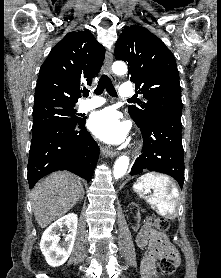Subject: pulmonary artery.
Wrapping results in <instances>:
<instances>
[{"mask_svg":"<svg viewBox=\"0 0 221 278\" xmlns=\"http://www.w3.org/2000/svg\"><path fill=\"white\" fill-rule=\"evenodd\" d=\"M135 95L134 89L130 85H122L120 88V97L130 99ZM105 99L99 96H93L91 99L83 101L79 105L80 111H89L105 104Z\"/></svg>","mask_w":221,"mask_h":278,"instance_id":"e3ab8cb5","label":"pulmonary artery"}]
</instances>
